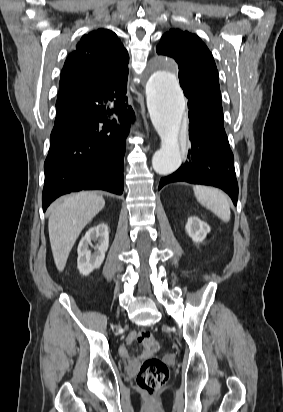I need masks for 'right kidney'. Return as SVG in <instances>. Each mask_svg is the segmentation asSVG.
<instances>
[{"label":"right kidney","instance_id":"1","mask_svg":"<svg viewBox=\"0 0 283 412\" xmlns=\"http://www.w3.org/2000/svg\"><path fill=\"white\" fill-rule=\"evenodd\" d=\"M92 242L96 243V245H93ZM108 245V226L101 223L91 227L78 245L77 267L79 272L83 275H88L94 269L99 268L105 259ZM89 246L94 249V252L89 249Z\"/></svg>","mask_w":283,"mask_h":412}]
</instances>
